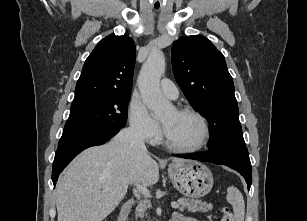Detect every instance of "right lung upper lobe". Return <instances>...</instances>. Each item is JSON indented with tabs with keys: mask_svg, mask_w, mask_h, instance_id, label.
<instances>
[{
	"mask_svg": "<svg viewBox=\"0 0 307 221\" xmlns=\"http://www.w3.org/2000/svg\"><path fill=\"white\" fill-rule=\"evenodd\" d=\"M135 43L123 35H108L86 59L73 102L112 94L131 93Z\"/></svg>",
	"mask_w": 307,
	"mask_h": 221,
	"instance_id": "obj_1",
	"label": "right lung upper lobe"
}]
</instances>
